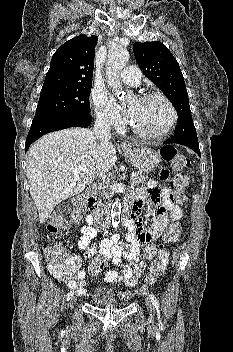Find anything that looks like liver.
<instances>
[{
    "label": "liver",
    "instance_id": "1",
    "mask_svg": "<svg viewBox=\"0 0 233 352\" xmlns=\"http://www.w3.org/2000/svg\"><path fill=\"white\" fill-rule=\"evenodd\" d=\"M27 156L26 175L40 223L58 203L83 192L95 176L111 170L117 161L113 143L97 139L85 128L49 133L31 145ZM80 166L85 170L75 174Z\"/></svg>",
    "mask_w": 233,
    "mask_h": 352
}]
</instances>
